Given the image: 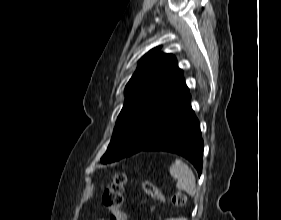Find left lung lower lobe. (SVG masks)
Listing matches in <instances>:
<instances>
[{
  "instance_id": "0a47b994",
  "label": "left lung lower lobe",
  "mask_w": 281,
  "mask_h": 220,
  "mask_svg": "<svg viewBox=\"0 0 281 220\" xmlns=\"http://www.w3.org/2000/svg\"><path fill=\"white\" fill-rule=\"evenodd\" d=\"M203 140L187 89L166 113L149 143L140 151H165L183 156L202 172Z\"/></svg>"
}]
</instances>
